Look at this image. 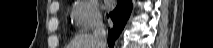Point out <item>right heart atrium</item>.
Returning <instances> with one entry per match:
<instances>
[{"label": "right heart atrium", "mask_w": 213, "mask_h": 48, "mask_svg": "<svg viewBox=\"0 0 213 48\" xmlns=\"http://www.w3.org/2000/svg\"><path fill=\"white\" fill-rule=\"evenodd\" d=\"M71 16L81 31H87L97 26L102 19L99 4L96 0L74 1Z\"/></svg>", "instance_id": "d8ad5b80"}]
</instances>
